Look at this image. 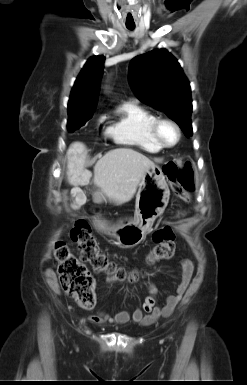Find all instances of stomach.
<instances>
[{"label": "stomach", "mask_w": 247, "mask_h": 385, "mask_svg": "<svg viewBox=\"0 0 247 385\" xmlns=\"http://www.w3.org/2000/svg\"><path fill=\"white\" fill-rule=\"evenodd\" d=\"M170 197V190L162 169L156 165L146 169L136 195L135 216L113 226L102 225L100 229L125 248L138 245L160 216Z\"/></svg>", "instance_id": "1"}]
</instances>
